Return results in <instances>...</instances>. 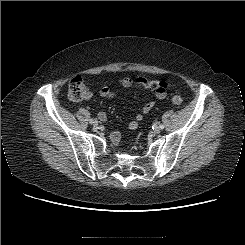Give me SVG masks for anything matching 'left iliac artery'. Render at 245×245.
Returning a JSON list of instances; mask_svg holds the SVG:
<instances>
[{
    "label": "left iliac artery",
    "instance_id": "1",
    "mask_svg": "<svg viewBox=\"0 0 245 245\" xmlns=\"http://www.w3.org/2000/svg\"><path fill=\"white\" fill-rule=\"evenodd\" d=\"M159 127H160L161 129H163V128H164V125H163V124H159Z\"/></svg>",
    "mask_w": 245,
    "mask_h": 245
}]
</instances>
